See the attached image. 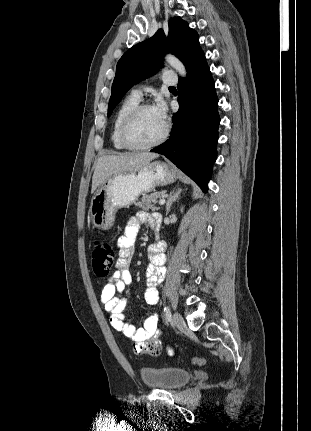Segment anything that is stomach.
<instances>
[{
    "label": "stomach",
    "instance_id": "stomach-1",
    "mask_svg": "<svg viewBox=\"0 0 311 431\" xmlns=\"http://www.w3.org/2000/svg\"><path fill=\"white\" fill-rule=\"evenodd\" d=\"M176 170L165 162H150L135 174H114L99 186L90 202V219L96 229H111L121 208L136 204L142 194L176 182Z\"/></svg>",
    "mask_w": 311,
    "mask_h": 431
}]
</instances>
